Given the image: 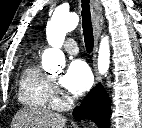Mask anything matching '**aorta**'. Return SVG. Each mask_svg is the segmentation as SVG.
Here are the masks:
<instances>
[{"instance_id": "aorta-1", "label": "aorta", "mask_w": 142, "mask_h": 128, "mask_svg": "<svg viewBox=\"0 0 142 128\" xmlns=\"http://www.w3.org/2000/svg\"><path fill=\"white\" fill-rule=\"evenodd\" d=\"M79 23L76 13L57 9L47 23L46 37L51 48L42 57V66L48 72H60L65 66V56L60 50L66 34L74 30ZM110 64V47L108 37H103L98 52V69L105 74Z\"/></svg>"}]
</instances>
